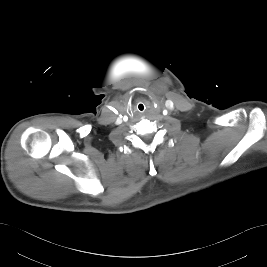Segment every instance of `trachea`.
<instances>
[{
    "label": "trachea",
    "mask_w": 267,
    "mask_h": 267,
    "mask_svg": "<svg viewBox=\"0 0 267 267\" xmlns=\"http://www.w3.org/2000/svg\"><path fill=\"white\" fill-rule=\"evenodd\" d=\"M138 109H139V111L143 112L144 111V105L143 104H139L138 105Z\"/></svg>",
    "instance_id": "1"
}]
</instances>
